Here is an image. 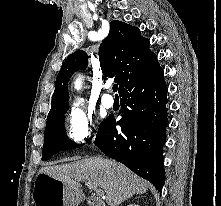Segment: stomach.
Masks as SVG:
<instances>
[{
	"label": "stomach",
	"instance_id": "0dacf381",
	"mask_svg": "<svg viewBox=\"0 0 221 206\" xmlns=\"http://www.w3.org/2000/svg\"><path fill=\"white\" fill-rule=\"evenodd\" d=\"M35 206H75L82 201L79 188L39 173L33 190Z\"/></svg>",
	"mask_w": 221,
	"mask_h": 206
}]
</instances>
